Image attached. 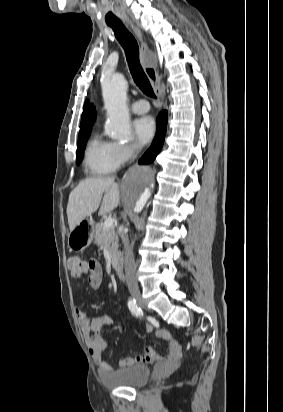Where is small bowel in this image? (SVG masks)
I'll return each mask as SVG.
<instances>
[{
    "instance_id": "1",
    "label": "small bowel",
    "mask_w": 283,
    "mask_h": 412,
    "mask_svg": "<svg viewBox=\"0 0 283 412\" xmlns=\"http://www.w3.org/2000/svg\"><path fill=\"white\" fill-rule=\"evenodd\" d=\"M87 281L90 288L96 290L100 288L103 282V271L96 262V268L94 271L88 272ZM76 316L79 320L81 329L84 333L86 343L89 347L90 353L98 365L101 374H105L111 371L110 364L105 360L103 353L109 348L108 343L101 337L100 330L113 323V318L109 314H103L95 317H90L87 312L80 308H76ZM146 332L150 333L153 327L150 323L145 325ZM158 337L163 338L168 343V354L166 356L167 361H175L179 358L181 353L180 345L175 341L171 335L165 330H159L156 332ZM164 358L157 355L152 347H146L143 354L121 359L119 365L121 367H128L135 363H151Z\"/></svg>"
}]
</instances>
